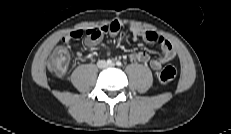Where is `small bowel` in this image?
Returning a JSON list of instances; mask_svg holds the SVG:
<instances>
[{
  "instance_id": "small-bowel-1",
  "label": "small bowel",
  "mask_w": 231,
  "mask_h": 134,
  "mask_svg": "<svg viewBox=\"0 0 231 134\" xmlns=\"http://www.w3.org/2000/svg\"><path fill=\"white\" fill-rule=\"evenodd\" d=\"M120 28V23L115 20L109 25L100 28L72 31L63 38V41L65 43H70L71 41L86 35L84 45L87 48H92L101 42L105 34H109L111 36L118 35ZM132 34L134 38H142L148 43L157 44L161 47V53L156 59H151L148 53L140 51L130 54V58L132 60L139 61L141 63H147L152 69L159 70L164 63L171 62L175 59L176 53L171 43L159 34L152 31H142L137 28L132 29ZM104 49L108 53V48L104 47Z\"/></svg>"
}]
</instances>
